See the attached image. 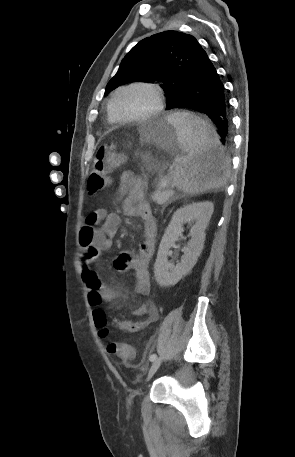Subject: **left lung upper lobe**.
I'll return each instance as SVG.
<instances>
[{"label": "left lung upper lobe", "instance_id": "1", "mask_svg": "<svg viewBox=\"0 0 295 457\" xmlns=\"http://www.w3.org/2000/svg\"><path fill=\"white\" fill-rule=\"evenodd\" d=\"M201 49L194 36L182 32L165 31L147 37L123 58L105 95L126 82L155 83L165 91L169 104L183 90L189 67Z\"/></svg>", "mask_w": 295, "mask_h": 457}]
</instances>
